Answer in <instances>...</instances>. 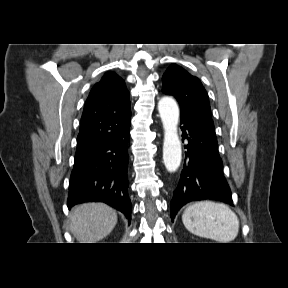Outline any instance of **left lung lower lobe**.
I'll return each mask as SVG.
<instances>
[{
	"label": "left lung lower lobe",
	"instance_id": "0a47b994",
	"mask_svg": "<svg viewBox=\"0 0 288 288\" xmlns=\"http://www.w3.org/2000/svg\"><path fill=\"white\" fill-rule=\"evenodd\" d=\"M182 137L188 140L186 158L178 187L171 200V219L190 201L211 199L233 205L229 185L223 175L218 142L209 128L191 118L180 119Z\"/></svg>",
	"mask_w": 288,
	"mask_h": 288
}]
</instances>
